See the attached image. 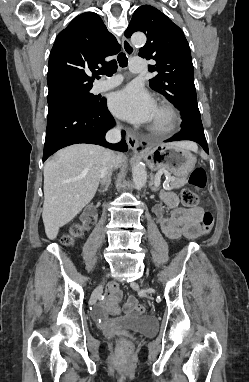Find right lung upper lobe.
Listing matches in <instances>:
<instances>
[{
    "instance_id": "obj_1",
    "label": "right lung upper lobe",
    "mask_w": 249,
    "mask_h": 382,
    "mask_svg": "<svg viewBox=\"0 0 249 382\" xmlns=\"http://www.w3.org/2000/svg\"><path fill=\"white\" fill-rule=\"evenodd\" d=\"M120 45L94 12H85L62 30L49 57L48 103L92 88L94 75L105 57L115 55Z\"/></svg>"
}]
</instances>
